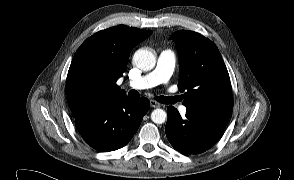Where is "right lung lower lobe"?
Listing matches in <instances>:
<instances>
[{
	"instance_id": "1",
	"label": "right lung lower lobe",
	"mask_w": 294,
	"mask_h": 180,
	"mask_svg": "<svg viewBox=\"0 0 294 180\" xmlns=\"http://www.w3.org/2000/svg\"><path fill=\"white\" fill-rule=\"evenodd\" d=\"M149 105L147 98L123 96L82 109L73 117L88 145L101 152L113 151L131 140Z\"/></svg>"
}]
</instances>
